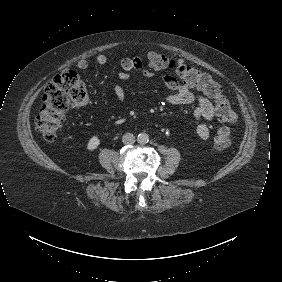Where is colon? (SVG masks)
Returning a JSON list of instances; mask_svg holds the SVG:
<instances>
[{"instance_id": "5ec220e1", "label": "colon", "mask_w": 282, "mask_h": 282, "mask_svg": "<svg viewBox=\"0 0 282 282\" xmlns=\"http://www.w3.org/2000/svg\"><path fill=\"white\" fill-rule=\"evenodd\" d=\"M149 66L155 71L172 70L181 77L188 87H196L215 100L216 112L223 122L233 123L237 114L230 101L224 96L220 84L207 73L193 66L177 62L161 52L149 54ZM89 100L87 89L80 77L73 71L63 72L52 78L46 85L41 113L35 127L44 140L54 141L63 127L64 115L68 107H83ZM213 144L218 152L227 151L232 144L227 127L220 128L213 136Z\"/></svg>"}]
</instances>
